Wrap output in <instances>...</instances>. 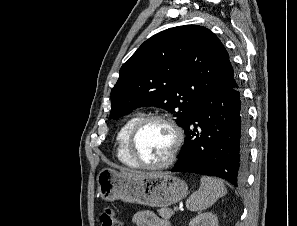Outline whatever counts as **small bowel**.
Returning a JSON list of instances; mask_svg holds the SVG:
<instances>
[{
    "label": "small bowel",
    "mask_w": 297,
    "mask_h": 226,
    "mask_svg": "<svg viewBox=\"0 0 297 226\" xmlns=\"http://www.w3.org/2000/svg\"><path fill=\"white\" fill-rule=\"evenodd\" d=\"M132 226H169L167 220L151 211H138L131 219Z\"/></svg>",
    "instance_id": "small-bowel-1"
}]
</instances>
